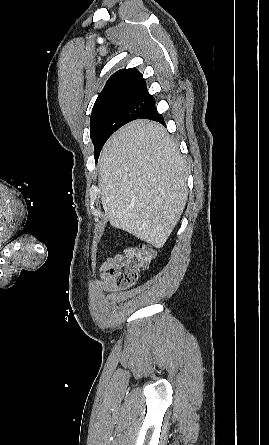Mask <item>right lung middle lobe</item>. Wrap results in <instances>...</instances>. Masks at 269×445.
Masks as SVG:
<instances>
[{
  "instance_id": "dd1d6c3e",
  "label": "right lung middle lobe",
  "mask_w": 269,
  "mask_h": 445,
  "mask_svg": "<svg viewBox=\"0 0 269 445\" xmlns=\"http://www.w3.org/2000/svg\"><path fill=\"white\" fill-rule=\"evenodd\" d=\"M154 102L155 99L146 88L117 90L97 98L90 119V136L96 162L103 145L113 132L141 117Z\"/></svg>"
}]
</instances>
